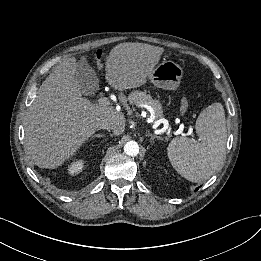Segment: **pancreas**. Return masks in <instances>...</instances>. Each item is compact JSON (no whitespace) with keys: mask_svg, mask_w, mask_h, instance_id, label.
I'll use <instances>...</instances> for the list:
<instances>
[{"mask_svg":"<svg viewBox=\"0 0 261 261\" xmlns=\"http://www.w3.org/2000/svg\"><path fill=\"white\" fill-rule=\"evenodd\" d=\"M120 99L123 102L126 101L124 96H121ZM128 101L133 105L147 104L153 109L155 120L163 118V109L161 103L159 100L153 99L152 96L146 92L139 90L132 91L128 96Z\"/></svg>","mask_w":261,"mask_h":261,"instance_id":"obj_1","label":"pancreas"}]
</instances>
